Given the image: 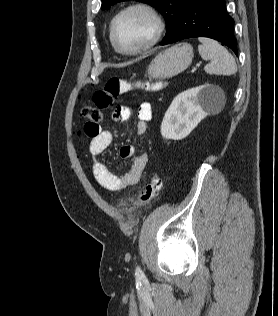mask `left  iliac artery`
I'll list each match as a JSON object with an SVG mask.
<instances>
[{
    "label": "left iliac artery",
    "instance_id": "1",
    "mask_svg": "<svg viewBox=\"0 0 278 316\" xmlns=\"http://www.w3.org/2000/svg\"><path fill=\"white\" fill-rule=\"evenodd\" d=\"M136 276L139 277V278H142L144 276L142 270L140 267H137L136 268Z\"/></svg>",
    "mask_w": 278,
    "mask_h": 316
}]
</instances>
